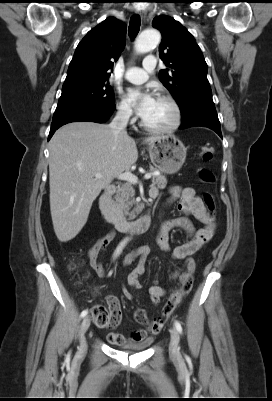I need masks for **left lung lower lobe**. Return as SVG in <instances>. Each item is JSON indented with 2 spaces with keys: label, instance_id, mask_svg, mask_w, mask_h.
Listing matches in <instances>:
<instances>
[{
  "label": "left lung lower lobe",
  "instance_id": "0a47b994",
  "mask_svg": "<svg viewBox=\"0 0 272 401\" xmlns=\"http://www.w3.org/2000/svg\"><path fill=\"white\" fill-rule=\"evenodd\" d=\"M194 126L208 127L222 138L220 122L215 106H200L192 108L185 114H182V125L180 129Z\"/></svg>",
  "mask_w": 272,
  "mask_h": 401
}]
</instances>
